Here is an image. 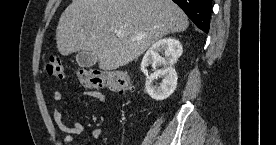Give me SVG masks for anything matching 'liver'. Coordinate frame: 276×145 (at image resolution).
<instances>
[{
  "label": "liver",
  "instance_id": "obj_1",
  "mask_svg": "<svg viewBox=\"0 0 276 145\" xmlns=\"http://www.w3.org/2000/svg\"><path fill=\"white\" fill-rule=\"evenodd\" d=\"M188 25L186 14L172 0H73L59 19L56 43L62 55L91 52L99 68L109 71ZM117 31L124 35L118 37Z\"/></svg>",
  "mask_w": 276,
  "mask_h": 145
}]
</instances>
